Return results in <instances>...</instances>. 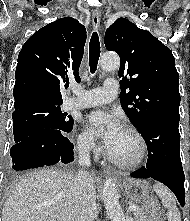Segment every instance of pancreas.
<instances>
[{
	"label": "pancreas",
	"instance_id": "obj_1",
	"mask_svg": "<svg viewBox=\"0 0 190 221\" xmlns=\"http://www.w3.org/2000/svg\"><path fill=\"white\" fill-rule=\"evenodd\" d=\"M133 215H134L135 221H150L148 219L147 214L140 207H137V209L133 211Z\"/></svg>",
	"mask_w": 190,
	"mask_h": 221
}]
</instances>
